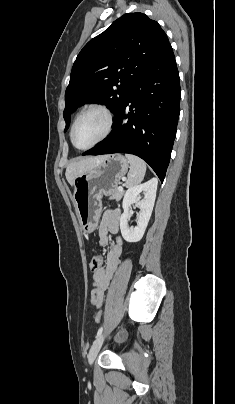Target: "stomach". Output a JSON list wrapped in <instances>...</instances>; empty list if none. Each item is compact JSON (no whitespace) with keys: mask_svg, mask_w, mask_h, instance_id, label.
<instances>
[{"mask_svg":"<svg viewBox=\"0 0 235 404\" xmlns=\"http://www.w3.org/2000/svg\"><path fill=\"white\" fill-rule=\"evenodd\" d=\"M128 161L121 154L107 155L91 170L76 177L73 182V200L84 233H92L101 215V198L116 189L128 170Z\"/></svg>","mask_w":235,"mask_h":404,"instance_id":"0dacf381","label":"stomach"}]
</instances>
